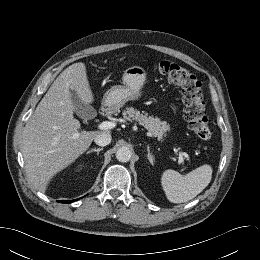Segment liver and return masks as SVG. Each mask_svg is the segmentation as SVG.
Listing matches in <instances>:
<instances>
[{"instance_id":"liver-1","label":"liver","mask_w":260,"mask_h":260,"mask_svg":"<svg viewBox=\"0 0 260 260\" xmlns=\"http://www.w3.org/2000/svg\"><path fill=\"white\" fill-rule=\"evenodd\" d=\"M71 90L84 104L94 101L82 62L70 65L56 78L23 129L26 173L29 182L41 192L46 191L55 174L83 154L101 133L80 130V122L73 116Z\"/></svg>"}]
</instances>
